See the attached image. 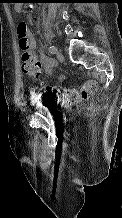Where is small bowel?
Returning a JSON list of instances; mask_svg holds the SVG:
<instances>
[{
  "instance_id": "1",
  "label": "small bowel",
  "mask_w": 122,
  "mask_h": 218,
  "mask_svg": "<svg viewBox=\"0 0 122 218\" xmlns=\"http://www.w3.org/2000/svg\"><path fill=\"white\" fill-rule=\"evenodd\" d=\"M18 9H20V8L18 7ZM31 49L34 52V50H35V41L32 38H31ZM34 56H35V59L37 60V62L39 63V69L41 67H44V69H45V71L47 73H51L52 67L54 65L53 61L50 58H48V57H46L45 55H42V54L38 55V54L34 53Z\"/></svg>"
}]
</instances>
